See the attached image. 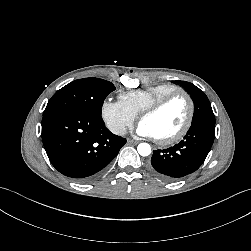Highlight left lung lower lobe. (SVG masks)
<instances>
[{
  "mask_svg": "<svg viewBox=\"0 0 251 251\" xmlns=\"http://www.w3.org/2000/svg\"><path fill=\"white\" fill-rule=\"evenodd\" d=\"M215 137V121L192 123L184 139L173 147L155 150L150 171L161 179L172 181L196 171L206 159Z\"/></svg>",
  "mask_w": 251,
  "mask_h": 251,
  "instance_id": "0a47b994",
  "label": "left lung lower lobe"
}]
</instances>
